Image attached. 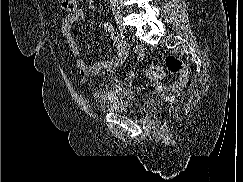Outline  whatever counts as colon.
Instances as JSON below:
<instances>
[{
    "label": "colon",
    "mask_w": 243,
    "mask_h": 182,
    "mask_svg": "<svg viewBox=\"0 0 243 182\" xmlns=\"http://www.w3.org/2000/svg\"><path fill=\"white\" fill-rule=\"evenodd\" d=\"M61 8L69 13H73L78 8V0H61ZM166 70L179 75L178 81L174 84L175 88L183 86L188 80V72L183 62L174 55H168L165 59V66L151 65L145 70V74L150 79H161Z\"/></svg>",
    "instance_id": "5ec220e1"
}]
</instances>
